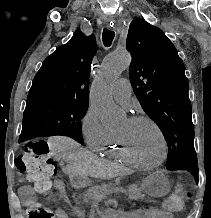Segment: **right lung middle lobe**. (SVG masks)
Instances as JSON below:
<instances>
[{"mask_svg":"<svg viewBox=\"0 0 211 218\" xmlns=\"http://www.w3.org/2000/svg\"><path fill=\"white\" fill-rule=\"evenodd\" d=\"M88 103L44 100L26 104L22 136L26 138L66 135L84 144L81 119Z\"/></svg>","mask_w":211,"mask_h":218,"instance_id":"1","label":"right lung middle lobe"}]
</instances>
